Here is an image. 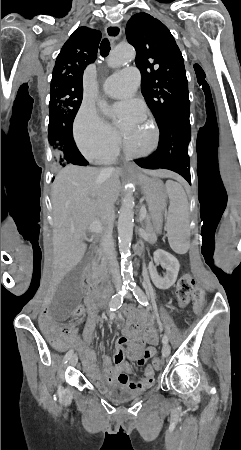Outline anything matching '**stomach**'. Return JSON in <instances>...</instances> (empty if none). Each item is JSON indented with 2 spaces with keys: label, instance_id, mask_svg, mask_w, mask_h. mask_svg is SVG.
<instances>
[{
  "label": "stomach",
  "instance_id": "stomach-1",
  "mask_svg": "<svg viewBox=\"0 0 241 450\" xmlns=\"http://www.w3.org/2000/svg\"><path fill=\"white\" fill-rule=\"evenodd\" d=\"M135 178L145 195L153 227L159 232L162 228L163 214L167 202L163 184L160 180L145 175H136Z\"/></svg>",
  "mask_w": 241,
  "mask_h": 450
}]
</instances>
